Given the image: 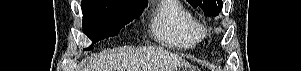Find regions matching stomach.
Here are the masks:
<instances>
[{"instance_id": "stomach-1", "label": "stomach", "mask_w": 301, "mask_h": 71, "mask_svg": "<svg viewBox=\"0 0 301 71\" xmlns=\"http://www.w3.org/2000/svg\"><path fill=\"white\" fill-rule=\"evenodd\" d=\"M194 69L195 68H193L190 65H185V66L178 68L176 71H195Z\"/></svg>"}]
</instances>
